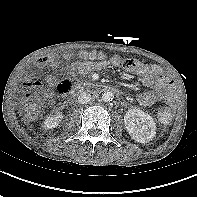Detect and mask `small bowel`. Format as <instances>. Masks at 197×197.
<instances>
[{
    "label": "small bowel",
    "mask_w": 197,
    "mask_h": 197,
    "mask_svg": "<svg viewBox=\"0 0 197 197\" xmlns=\"http://www.w3.org/2000/svg\"><path fill=\"white\" fill-rule=\"evenodd\" d=\"M95 51L96 50L84 51L81 53V55H85L83 57V61L72 62L66 65H64L61 59L57 56H44L37 60L36 66L38 68L48 66L54 70L58 69L63 72L64 75L69 77L75 72H78L82 75H87L94 70H100L104 68L107 64V62L104 60H97L91 57L92 53ZM64 58L70 59L71 54L67 53L64 55ZM109 63L115 67L124 68L125 70L140 76L142 84L145 87L151 89L149 91L141 92L137 96V100L140 105L149 107L159 101H170L173 98L174 88L172 81L169 75L166 74L160 66L156 64H144L138 60L125 59L118 55H113L110 57ZM47 81L50 84H54L56 82V78L49 77ZM34 82L40 84L38 81H32L31 83ZM31 83H29V85Z\"/></svg>",
    "instance_id": "small-bowel-1"
}]
</instances>
